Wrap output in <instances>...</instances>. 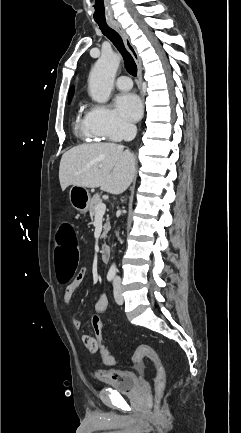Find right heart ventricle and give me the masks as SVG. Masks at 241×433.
Wrapping results in <instances>:
<instances>
[{"label":"right heart ventricle","instance_id":"right-heart-ventricle-1","mask_svg":"<svg viewBox=\"0 0 241 433\" xmlns=\"http://www.w3.org/2000/svg\"><path fill=\"white\" fill-rule=\"evenodd\" d=\"M87 113L83 114L81 111L79 112L75 124L76 133L86 141H101L103 137L92 130L88 121Z\"/></svg>","mask_w":241,"mask_h":433}]
</instances>
